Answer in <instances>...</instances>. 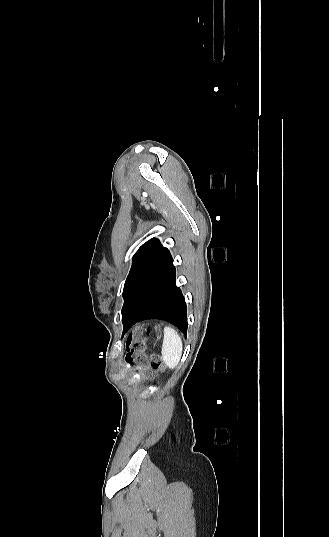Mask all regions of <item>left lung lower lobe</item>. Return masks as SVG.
Listing matches in <instances>:
<instances>
[{
	"instance_id": "left-lung-lower-lobe-1",
	"label": "left lung lower lobe",
	"mask_w": 329,
	"mask_h": 537,
	"mask_svg": "<svg viewBox=\"0 0 329 537\" xmlns=\"http://www.w3.org/2000/svg\"><path fill=\"white\" fill-rule=\"evenodd\" d=\"M173 260L148 285L138 303L122 322L123 334L134 324L151 319H162L187 333V307L179 287L175 284Z\"/></svg>"
}]
</instances>
